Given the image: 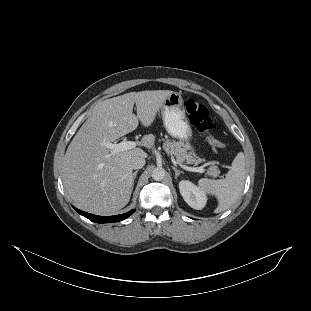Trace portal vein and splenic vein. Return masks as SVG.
<instances>
[{
    "instance_id": "obj_1",
    "label": "portal vein and splenic vein",
    "mask_w": 311,
    "mask_h": 311,
    "mask_svg": "<svg viewBox=\"0 0 311 311\" xmlns=\"http://www.w3.org/2000/svg\"><path fill=\"white\" fill-rule=\"evenodd\" d=\"M135 141H128L127 139L122 140L120 143H109L104 142L103 146L111 149L113 152H119L124 150H130L135 146ZM186 170L193 171V172H199V173H205L206 169L204 167H186Z\"/></svg>"
}]
</instances>
